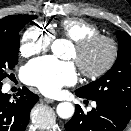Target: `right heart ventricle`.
I'll list each match as a JSON object with an SVG mask.
<instances>
[{
    "label": "right heart ventricle",
    "instance_id": "right-heart-ventricle-1",
    "mask_svg": "<svg viewBox=\"0 0 131 131\" xmlns=\"http://www.w3.org/2000/svg\"><path fill=\"white\" fill-rule=\"evenodd\" d=\"M58 32L64 37L76 42L87 36L99 34V28L81 18H67L60 22Z\"/></svg>",
    "mask_w": 131,
    "mask_h": 131
}]
</instances>
